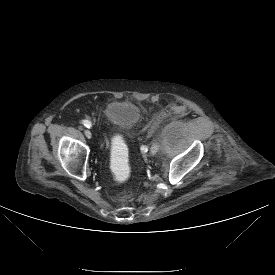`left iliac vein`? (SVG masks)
<instances>
[{
    "label": "left iliac vein",
    "mask_w": 275,
    "mask_h": 275,
    "mask_svg": "<svg viewBox=\"0 0 275 275\" xmlns=\"http://www.w3.org/2000/svg\"><path fill=\"white\" fill-rule=\"evenodd\" d=\"M159 150V144L157 142H154L150 148L151 155H155Z\"/></svg>",
    "instance_id": "obj_1"
}]
</instances>
